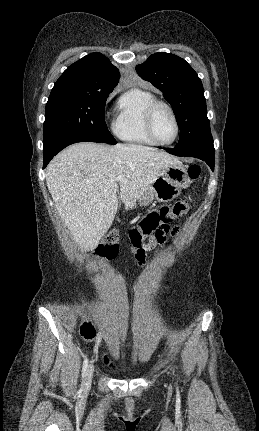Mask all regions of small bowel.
Masks as SVG:
<instances>
[{
	"mask_svg": "<svg viewBox=\"0 0 259 431\" xmlns=\"http://www.w3.org/2000/svg\"><path fill=\"white\" fill-rule=\"evenodd\" d=\"M139 272H145V269H139ZM105 363L111 365L110 358L108 356L105 357Z\"/></svg>",
	"mask_w": 259,
	"mask_h": 431,
	"instance_id": "obj_1",
	"label": "small bowel"
}]
</instances>
